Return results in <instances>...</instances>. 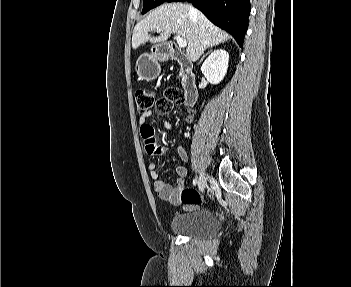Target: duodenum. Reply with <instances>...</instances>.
I'll return each mask as SVG.
<instances>
[{"label": "duodenum", "instance_id": "obj_1", "mask_svg": "<svg viewBox=\"0 0 351 287\" xmlns=\"http://www.w3.org/2000/svg\"><path fill=\"white\" fill-rule=\"evenodd\" d=\"M156 56L165 60L177 61L182 69L181 83L185 92L186 107H193L197 102V88L193 74V62L175 43H166L158 47Z\"/></svg>", "mask_w": 351, "mask_h": 287}]
</instances>
